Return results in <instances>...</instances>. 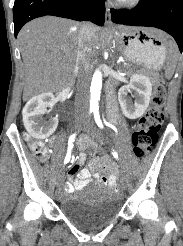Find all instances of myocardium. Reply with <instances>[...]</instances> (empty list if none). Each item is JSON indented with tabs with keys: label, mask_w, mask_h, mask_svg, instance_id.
<instances>
[{
	"label": "myocardium",
	"mask_w": 183,
	"mask_h": 246,
	"mask_svg": "<svg viewBox=\"0 0 183 246\" xmlns=\"http://www.w3.org/2000/svg\"><path fill=\"white\" fill-rule=\"evenodd\" d=\"M118 4L122 7H131L136 5L139 0H117Z\"/></svg>",
	"instance_id": "obj_1"
}]
</instances>
